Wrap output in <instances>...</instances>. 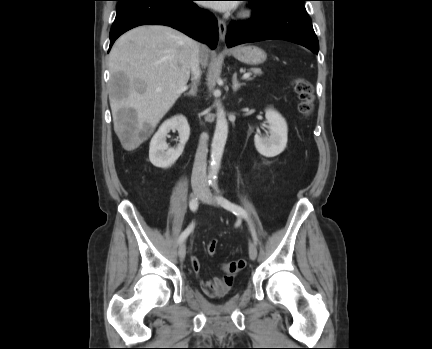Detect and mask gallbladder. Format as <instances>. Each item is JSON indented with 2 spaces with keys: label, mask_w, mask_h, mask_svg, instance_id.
<instances>
[{
  "label": "gallbladder",
  "mask_w": 432,
  "mask_h": 349,
  "mask_svg": "<svg viewBox=\"0 0 432 349\" xmlns=\"http://www.w3.org/2000/svg\"><path fill=\"white\" fill-rule=\"evenodd\" d=\"M119 77H122V74H119ZM119 115H120V114L118 113V117H119Z\"/></svg>",
  "instance_id": "obj_1"
}]
</instances>
